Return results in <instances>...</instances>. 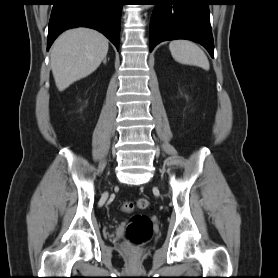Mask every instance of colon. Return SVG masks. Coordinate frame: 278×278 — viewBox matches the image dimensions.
I'll return each mask as SVG.
<instances>
[{
	"label": "colon",
	"mask_w": 278,
	"mask_h": 278,
	"mask_svg": "<svg viewBox=\"0 0 278 278\" xmlns=\"http://www.w3.org/2000/svg\"><path fill=\"white\" fill-rule=\"evenodd\" d=\"M149 207V201L146 198H140L135 202H129L124 205L126 211L145 210ZM153 233L151 219L144 214L134 215L126 228V238L134 246L140 247L145 244Z\"/></svg>",
	"instance_id": "5ec220e1"
}]
</instances>
